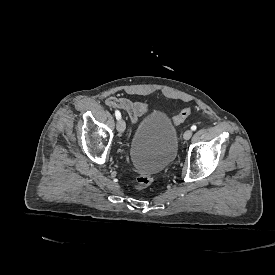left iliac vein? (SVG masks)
<instances>
[{
  "label": "left iliac vein",
  "instance_id": "left-iliac-vein-1",
  "mask_svg": "<svg viewBox=\"0 0 275 275\" xmlns=\"http://www.w3.org/2000/svg\"><path fill=\"white\" fill-rule=\"evenodd\" d=\"M192 135H193V131L192 130H187L184 133L183 137H184L185 140H189L192 137Z\"/></svg>",
  "mask_w": 275,
  "mask_h": 275
}]
</instances>
